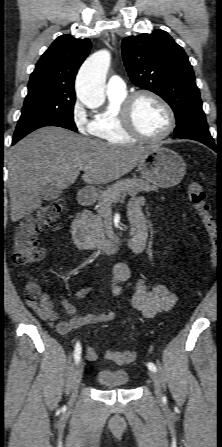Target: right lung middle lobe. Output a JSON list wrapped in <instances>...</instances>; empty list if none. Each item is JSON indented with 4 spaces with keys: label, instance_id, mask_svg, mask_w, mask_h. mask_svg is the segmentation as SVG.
<instances>
[{
    "label": "right lung middle lobe",
    "instance_id": "obj_1",
    "mask_svg": "<svg viewBox=\"0 0 222 447\" xmlns=\"http://www.w3.org/2000/svg\"><path fill=\"white\" fill-rule=\"evenodd\" d=\"M22 114L13 139L20 140L44 126H58L76 131L73 119L75 95L55 92L47 85L28 88Z\"/></svg>",
    "mask_w": 222,
    "mask_h": 447
}]
</instances>
